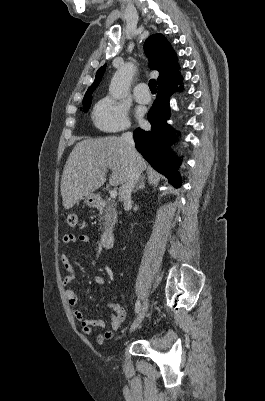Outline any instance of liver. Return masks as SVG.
Instances as JSON below:
<instances>
[{"mask_svg":"<svg viewBox=\"0 0 265 401\" xmlns=\"http://www.w3.org/2000/svg\"><path fill=\"white\" fill-rule=\"evenodd\" d=\"M137 166L141 172L147 168L140 154ZM107 168L112 170L109 184L113 186L121 184L119 201H123V186L129 180L133 168V160L123 138L106 136V138H85L77 142L66 160L61 178L64 209H72L81 196L94 194V190L106 182Z\"/></svg>","mask_w":265,"mask_h":401,"instance_id":"6515ba94","label":"liver"}]
</instances>
